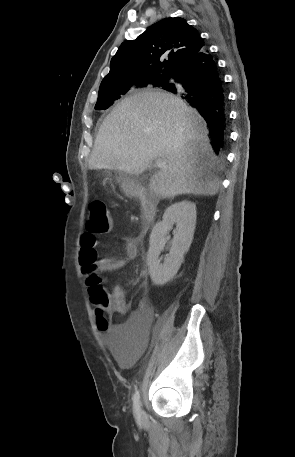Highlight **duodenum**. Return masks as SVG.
<instances>
[{
	"label": "duodenum",
	"mask_w": 295,
	"mask_h": 457,
	"mask_svg": "<svg viewBox=\"0 0 295 457\" xmlns=\"http://www.w3.org/2000/svg\"><path fill=\"white\" fill-rule=\"evenodd\" d=\"M136 194L142 204L141 224L142 230L145 232L149 229L154 221L156 206L154 202H152L142 191H137Z\"/></svg>",
	"instance_id": "duodenum-1"
}]
</instances>
